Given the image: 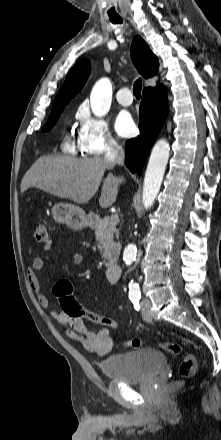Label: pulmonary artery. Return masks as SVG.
I'll use <instances>...</instances> for the list:
<instances>
[{
  "instance_id": "1",
  "label": "pulmonary artery",
  "mask_w": 221,
  "mask_h": 440,
  "mask_svg": "<svg viewBox=\"0 0 221 440\" xmlns=\"http://www.w3.org/2000/svg\"><path fill=\"white\" fill-rule=\"evenodd\" d=\"M117 101L122 106H129L133 102V96L128 87L121 88L117 93Z\"/></svg>"
}]
</instances>
